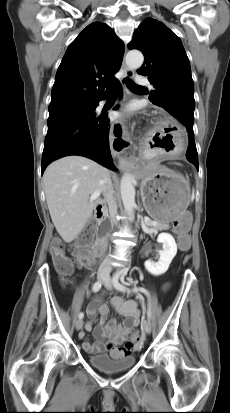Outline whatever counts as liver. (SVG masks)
Instances as JSON below:
<instances>
[{"mask_svg": "<svg viewBox=\"0 0 230 413\" xmlns=\"http://www.w3.org/2000/svg\"><path fill=\"white\" fill-rule=\"evenodd\" d=\"M109 171L83 156H66L52 162L45 170L43 181L52 222L62 237L70 243L83 230L101 198L90 200L95 191L108 188Z\"/></svg>", "mask_w": 230, "mask_h": 413, "instance_id": "6515ba94", "label": "liver"}]
</instances>
